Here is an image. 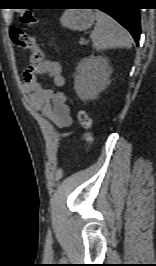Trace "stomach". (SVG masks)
Masks as SVG:
<instances>
[{"label": "stomach", "instance_id": "0dacf381", "mask_svg": "<svg viewBox=\"0 0 156 266\" xmlns=\"http://www.w3.org/2000/svg\"><path fill=\"white\" fill-rule=\"evenodd\" d=\"M95 17L91 10L69 9L66 10L61 18V24L70 29L83 31L90 28L94 23Z\"/></svg>", "mask_w": 156, "mask_h": 266}]
</instances>
